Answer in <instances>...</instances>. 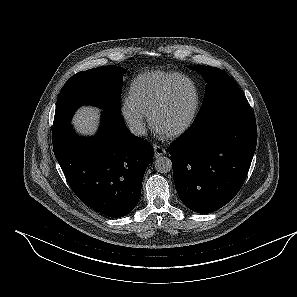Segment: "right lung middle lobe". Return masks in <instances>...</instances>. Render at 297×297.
Returning <instances> with one entry per match:
<instances>
[{
  "instance_id": "dd1d6c3e",
  "label": "right lung middle lobe",
  "mask_w": 297,
  "mask_h": 297,
  "mask_svg": "<svg viewBox=\"0 0 297 297\" xmlns=\"http://www.w3.org/2000/svg\"><path fill=\"white\" fill-rule=\"evenodd\" d=\"M126 70L108 65L73 75L62 88L55 109L52 141L60 138L70 125L75 110L83 104L98 105L121 113L122 78Z\"/></svg>"
}]
</instances>
